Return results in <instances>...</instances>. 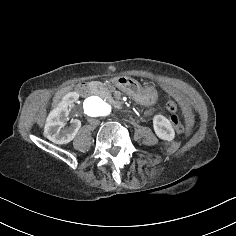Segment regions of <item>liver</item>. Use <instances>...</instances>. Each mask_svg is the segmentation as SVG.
<instances>
[{
  "label": "liver",
  "instance_id": "obj_1",
  "mask_svg": "<svg viewBox=\"0 0 236 236\" xmlns=\"http://www.w3.org/2000/svg\"><path fill=\"white\" fill-rule=\"evenodd\" d=\"M71 90V86L65 87L58 91L54 97V103L58 102V100L68 91Z\"/></svg>",
  "mask_w": 236,
  "mask_h": 236
}]
</instances>
